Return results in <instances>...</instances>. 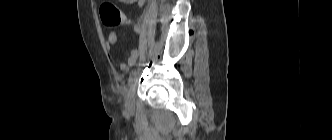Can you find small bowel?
Returning <instances> with one entry per match:
<instances>
[{
  "label": "small bowel",
  "mask_w": 332,
  "mask_h": 140,
  "mask_svg": "<svg viewBox=\"0 0 332 140\" xmlns=\"http://www.w3.org/2000/svg\"><path fill=\"white\" fill-rule=\"evenodd\" d=\"M119 2L123 4H135L137 7H142L145 3L146 0H118ZM117 34L114 31L109 32L107 36V41H106V47L108 50L112 49L117 43ZM139 56V52L137 49H133L131 51L130 56L128 57L127 62L120 61L119 63V69L121 71H127L130 67L135 65L137 59Z\"/></svg>",
  "instance_id": "small-bowel-1"
}]
</instances>
